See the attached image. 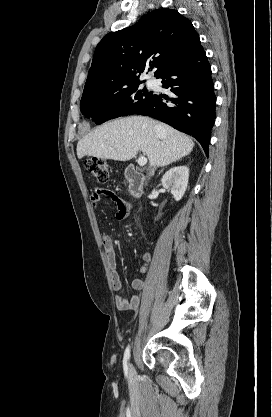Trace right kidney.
I'll return each mask as SVG.
<instances>
[{
  "mask_svg": "<svg viewBox=\"0 0 272 417\" xmlns=\"http://www.w3.org/2000/svg\"><path fill=\"white\" fill-rule=\"evenodd\" d=\"M189 168L187 166L173 167L161 179L162 186L170 190L176 201L182 199L188 185Z\"/></svg>",
  "mask_w": 272,
  "mask_h": 417,
  "instance_id": "1",
  "label": "right kidney"
}]
</instances>
